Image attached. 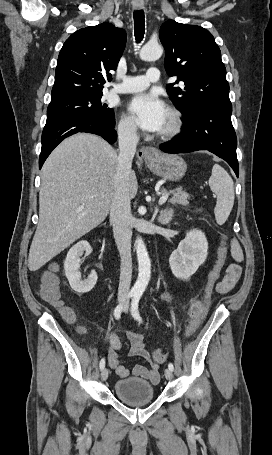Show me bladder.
<instances>
[{
    "label": "bladder",
    "mask_w": 272,
    "mask_h": 455,
    "mask_svg": "<svg viewBox=\"0 0 272 455\" xmlns=\"http://www.w3.org/2000/svg\"><path fill=\"white\" fill-rule=\"evenodd\" d=\"M114 392L118 399L132 406L148 404L155 397L153 385L137 377H127L116 381Z\"/></svg>",
    "instance_id": "obj_1"
}]
</instances>
